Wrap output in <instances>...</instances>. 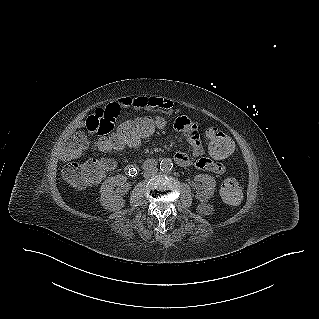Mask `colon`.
<instances>
[{"label":"colon","instance_id":"colon-1","mask_svg":"<svg viewBox=\"0 0 319 319\" xmlns=\"http://www.w3.org/2000/svg\"><path fill=\"white\" fill-rule=\"evenodd\" d=\"M168 129L169 120L164 114L153 113L149 117L141 115L138 121L123 123L111 134L102 135L100 139L93 141L88 147L91 160L83 164L72 161L79 157L88 145L86 137L82 133H76L67 140L62 149V157L71 161L65 166L64 175L77 188L96 182L114 168L113 159L121 158L141 144L160 138ZM204 147L212 158L221 161L230 159L236 149L234 140L221 130L211 131L205 137ZM221 194L226 202L239 203L242 198L240 181L235 177H227L223 181Z\"/></svg>","mask_w":319,"mask_h":319}]
</instances>
